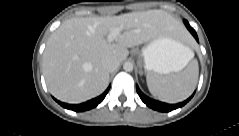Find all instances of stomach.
Returning a JSON list of instances; mask_svg holds the SVG:
<instances>
[{
    "instance_id": "0dacf381",
    "label": "stomach",
    "mask_w": 239,
    "mask_h": 136,
    "mask_svg": "<svg viewBox=\"0 0 239 136\" xmlns=\"http://www.w3.org/2000/svg\"><path fill=\"white\" fill-rule=\"evenodd\" d=\"M190 48L172 34H162L149 41L141 51L148 73L169 74L181 71L189 60Z\"/></svg>"
}]
</instances>
